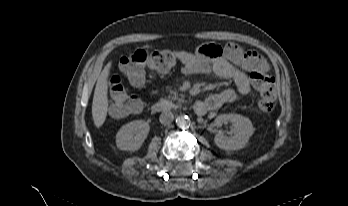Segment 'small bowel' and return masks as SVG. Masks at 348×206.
<instances>
[{
    "label": "small bowel",
    "mask_w": 348,
    "mask_h": 206,
    "mask_svg": "<svg viewBox=\"0 0 348 206\" xmlns=\"http://www.w3.org/2000/svg\"><path fill=\"white\" fill-rule=\"evenodd\" d=\"M177 55L184 74L212 71L218 77L234 82V89H225L209 97L210 110L242 100L249 94L251 86L245 71H265L268 68L262 56L236 42H229L224 47L203 44L195 52L178 51Z\"/></svg>",
    "instance_id": "obj_1"
}]
</instances>
